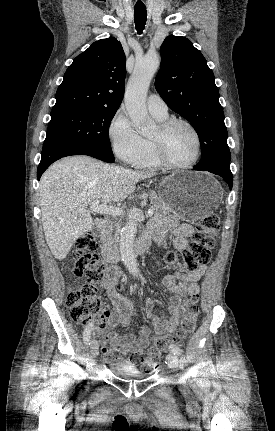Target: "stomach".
Instances as JSON below:
<instances>
[{"mask_svg": "<svg viewBox=\"0 0 275 431\" xmlns=\"http://www.w3.org/2000/svg\"><path fill=\"white\" fill-rule=\"evenodd\" d=\"M160 198L180 219L195 222L212 214L222 200L218 181L205 172H176L165 177L158 188Z\"/></svg>", "mask_w": 275, "mask_h": 431, "instance_id": "obj_1", "label": "stomach"}]
</instances>
